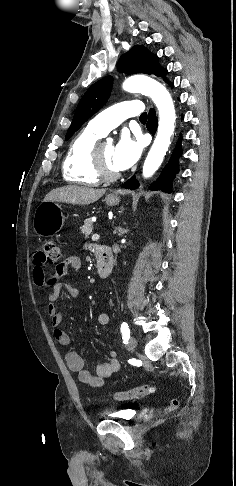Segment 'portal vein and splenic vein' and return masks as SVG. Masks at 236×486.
I'll return each instance as SVG.
<instances>
[{"instance_id":"obj_1","label":"portal vein and splenic vein","mask_w":236,"mask_h":486,"mask_svg":"<svg viewBox=\"0 0 236 486\" xmlns=\"http://www.w3.org/2000/svg\"><path fill=\"white\" fill-rule=\"evenodd\" d=\"M99 238H100V235H99V234H93V235H92V240H93V241H96V240H98Z\"/></svg>"}]
</instances>
